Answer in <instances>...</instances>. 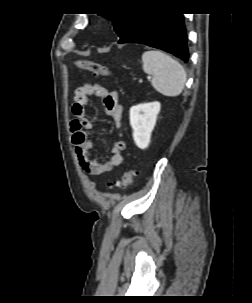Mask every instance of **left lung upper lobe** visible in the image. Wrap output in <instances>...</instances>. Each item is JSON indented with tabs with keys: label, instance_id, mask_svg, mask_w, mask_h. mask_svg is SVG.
I'll return each instance as SVG.
<instances>
[{
	"label": "left lung upper lobe",
	"instance_id": "5c2ea615",
	"mask_svg": "<svg viewBox=\"0 0 252 303\" xmlns=\"http://www.w3.org/2000/svg\"><path fill=\"white\" fill-rule=\"evenodd\" d=\"M144 14V12L138 11L133 13H110L102 15L112 20L114 30L120 39H122L135 28Z\"/></svg>",
	"mask_w": 252,
	"mask_h": 303
}]
</instances>
